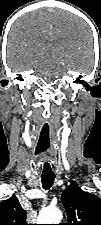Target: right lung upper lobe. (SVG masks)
I'll return each instance as SVG.
<instances>
[{
    "label": "right lung upper lobe",
    "instance_id": "obj_1",
    "mask_svg": "<svg viewBox=\"0 0 101 225\" xmlns=\"http://www.w3.org/2000/svg\"><path fill=\"white\" fill-rule=\"evenodd\" d=\"M26 215L15 196L0 203V225H27Z\"/></svg>",
    "mask_w": 101,
    "mask_h": 225
}]
</instances>
